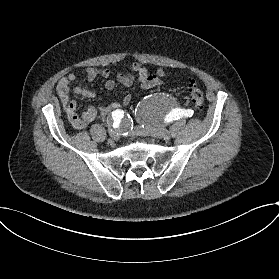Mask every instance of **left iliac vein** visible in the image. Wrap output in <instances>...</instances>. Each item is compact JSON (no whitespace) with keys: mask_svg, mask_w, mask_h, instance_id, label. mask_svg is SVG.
<instances>
[{"mask_svg":"<svg viewBox=\"0 0 279 279\" xmlns=\"http://www.w3.org/2000/svg\"><path fill=\"white\" fill-rule=\"evenodd\" d=\"M148 131L152 136L164 138L166 140L170 139L171 136L170 132L164 127L152 128V129H148Z\"/></svg>","mask_w":279,"mask_h":279,"instance_id":"1","label":"left iliac vein"}]
</instances>
